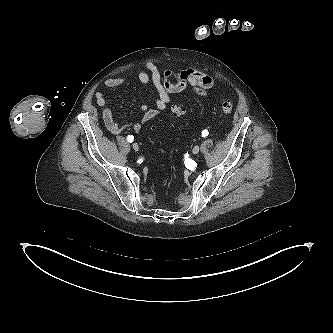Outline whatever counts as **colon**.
I'll return each instance as SVG.
<instances>
[{"mask_svg": "<svg viewBox=\"0 0 333 333\" xmlns=\"http://www.w3.org/2000/svg\"><path fill=\"white\" fill-rule=\"evenodd\" d=\"M233 110V104L229 100H223L221 103V111L224 115H229ZM172 112L175 116L183 114V109L180 106H173Z\"/></svg>", "mask_w": 333, "mask_h": 333, "instance_id": "colon-1", "label": "colon"}]
</instances>
